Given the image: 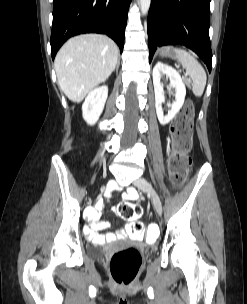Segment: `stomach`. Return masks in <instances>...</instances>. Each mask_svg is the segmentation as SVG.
<instances>
[{
    "mask_svg": "<svg viewBox=\"0 0 247 304\" xmlns=\"http://www.w3.org/2000/svg\"><path fill=\"white\" fill-rule=\"evenodd\" d=\"M171 50H172L171 47H165L161 50L160 54L165 57L167 56L171 57L172 56Z\"/></svg>",
    "mask_w": 247,
    "mask_h": 304,
    "instance_id": "0dacf381",
    "label": "stomach"
}]
</instances>
